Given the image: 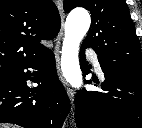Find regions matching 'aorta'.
I'll list each match as a JSON object with an SVG mask.
<instances>
[{"instance_id": "1", "label": "aorta", "mask_w": 142, "mask_h": 128, "mask_svg": "<svg viewBox=\"0 0 142 128\" xmlns=\"http://www.w3.org/2000/svg\"><path fill=\"white\" fill-rule=\"evenodd\" d=\"M91 18L88 11H72L65 23V36L61 52V69L66 81L74 88L82 85V73L79 64V46L89 30Z\"/></svg>"}]
</instances>
